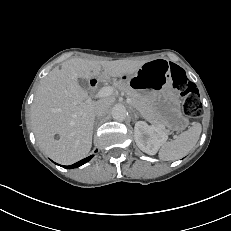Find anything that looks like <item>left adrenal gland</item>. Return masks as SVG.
Returning <instances> with one entry per match:
<instances>
[{
  "label": "left adrenal gland",
  "mask_w": 231,
  "mask_h": 231,
  "mask_svg": "<svg viewBox=\"0 0 231 231\" xmlns=\"http://www.w3.org/2000/svg\"><path fill=\"white\" fill-rule=\"evenodd\" d=\"M133 112H134V119L136 120L140 115H139V113L136 112L135 110H133Z\"/></svg>",
  "instance_id": "obj_1"
}]
</instances>
